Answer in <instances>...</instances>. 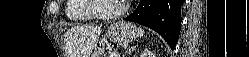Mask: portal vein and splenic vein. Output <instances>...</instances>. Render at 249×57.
I'll return each mask as SVG.
<instances>
[{
  "mask_svg": "<svg viewBox=\"0 0 249 57\" xmlns=\"http://www.w3.org/2000/svg\"><path fill=\"white\" fill-rule=\"evenodd\" d=\"M115 57H120V55H116Z\"/></svg>",
  "mask_w": 249,
  "mask_h": 57,
  "instance_id": "obj_1",
  "label": "portal vein and splenic vein"
}]
</instances>
